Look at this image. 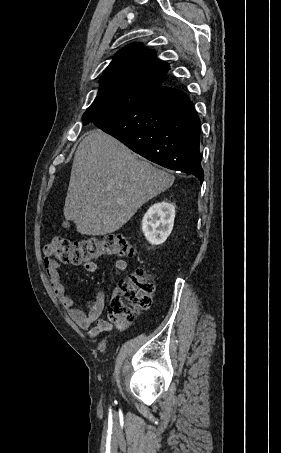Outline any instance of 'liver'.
I'll return each instance as SVG.
<instances>
[{
	"instance_id": "6515ba94",
	"label": "liver",
	"mask_w": 281,
	"mask_h": 453,
	"mask_svg": "<svg viewBox=\"0 0 281 453\" xmlns=\"http://www.w3.org/2000/svg\"><path fill=\"white\" fill-rule=\"evenodd\" d=\"M174 178L94 128L75 152L64 216L80 235H111L147 200L170 188Z\"/></svg>"
}]
</instances>
